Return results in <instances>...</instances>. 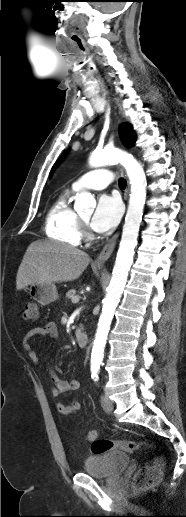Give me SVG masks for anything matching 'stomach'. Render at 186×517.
I'll return each instance as SVG.
<instances>
[{
    "mask_svg": "<svg viewBox=\"0 0 186 517\" xmlns=\"http://www.w3.org/2000/svg\"><path fill=\"white\" fill-rule=\"evenodd\" d=\"M29 295L41 305H48L59 299V295L54 283L32 284Z\"/></svg>",
    "mask_w": 186,
    "mask_h": 517,
    "instance_id": "0dacf381",
    "label": "stomach"
}]
</instances>
